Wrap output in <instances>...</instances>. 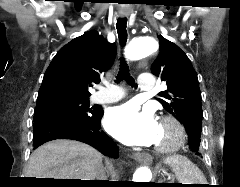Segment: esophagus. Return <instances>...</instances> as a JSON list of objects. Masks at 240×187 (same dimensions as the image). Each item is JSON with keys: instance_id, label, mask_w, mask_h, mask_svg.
I'll use <instances>...</instances> for the list:
<instances>
[{"instance_id": "1", "label": "esophagus", "mask_w": 240, "mask_h": 187, "mask_svg": "<svg viewBox=\"0 0 240 187\" xmlns=\"http://www.w3.org/2000/svg\"><path fill=\"white\" fill-rule=\"evenodd\" d=\"M132 157L134 160L140 163H151L153 158L150 154L148 153H143L140 151H136L132 153Z\"/></svg>"}]
</instances>
